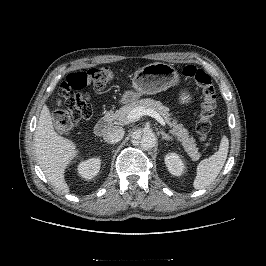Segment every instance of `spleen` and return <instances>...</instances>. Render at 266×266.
Returning <instances> with one entry per match:
<instances>
[{"label": "spleen", "mask_w": 266, "mask_h": 266, "mask_svg": "<svg viewBox=\"0 0 266 266\" xmlns=\"http://www.w3.org/2000/svg\"><path fill=\"white\" fill-rule=\"evenodd\" d=\"M229 148V140L223 137L220 142L219 150L209 158L202 160L197 166V174L193 182V187L197 190L209 186L222 170Z\"/></svg>", "instance_id": "3e777b00"}]
</instances>
